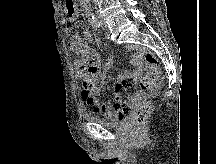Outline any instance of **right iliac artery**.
Returning <instances> with one entry per match:
<instances>
[{
    "instance_id": "82829eb1",
    "label": "right iliac artery",
    "mask_w": 216,
    "mask_h": 164,
    "mask_svg": "<svg viewBox=\"0 0 216 164\" xmlns=\"http://www.w3.org/2000/svg\"><path fill=\"white\" fill-rule=\"evenodd\" d=\"M91 23H92V26H94L95 28H100L101 26L98 19H93Z\"/></svg>"
}]
</instances>
